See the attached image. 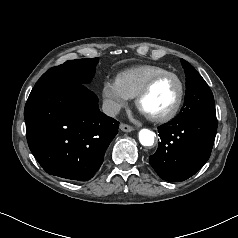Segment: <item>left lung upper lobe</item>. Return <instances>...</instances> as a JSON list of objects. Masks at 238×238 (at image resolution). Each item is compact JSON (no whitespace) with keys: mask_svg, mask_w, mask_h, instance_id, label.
Returning <instances> with one entry per match:
<instances>
[{"mask_svg":"<svg viewBox=\"0 0 238 238\" xmlns=\"http://www.w3.org/2000/svg\"><path fill=\"white\" fill-rule=\"evenodd\" d=\"M181 63L186 74V93L184 107L178 116L215 111L214 97L205 80L187 61L181 59Z\"/></svg>","mask_w":238,"mask_h":238,"instance_id":"obj_1","label":"left lung upper lobe"}]
</instances>
